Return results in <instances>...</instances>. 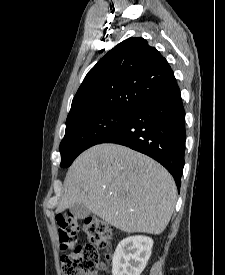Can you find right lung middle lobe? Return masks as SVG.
<instances>
[{"label": "right lung middle lobe", "instance_id": "right-lung-middle-lobe-1", "mask_svg": "<svg viewBox=\"0 0 225 275\" xmlns=\"http://www.w3.org/2000/svg\"><path fill=\"white\" fill-rule=\"evenodd\" d=\"M131 111H109L92 114L66 124L60 144L61 167H68L89 147L98 144L119 126Z\"/></svg>", "mask_w": 225, "mask_h": 275}]
</instances>
